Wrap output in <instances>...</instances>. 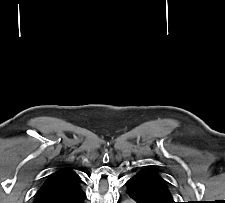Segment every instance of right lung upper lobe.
<instances>
[{"label": "right lung upper lobe", "mask_w": 225, "mask_h": 203, "mask_svg": "<svg viewBox=\"0 0 225 203\" xmlns=\"http://www.w3.org/2000/svg\"><path fill=\"white\" fill-rule=\"evenodd\" d=\"M83 181L70 168L59 169L50 176L42 185L35 202H52L58 199H73L84 192Z\"/></svg>", "instance_id": "cb5924a9"}]
</instances>
